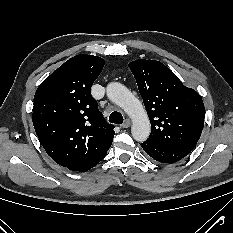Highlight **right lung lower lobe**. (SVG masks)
Returning <instances> with one entry per match:
<instances>
[{
    "mask_svg": "<svg viewBox=\"0 0 233 233\" xmlns=\"http://www.w3.org/2000/svg\"><path fill=\"white\" fill-rule=\"evenodd\" d=\"M101 160H102V159H101ZM101 160H100V161H101ZM100 161H98L97 163H99ZM97 163H96V164H97ZM96 164H94L92 167H94ZM92 167H91V168H92ZM89 169H90V168H89ZM89 169H88V170H89ZM86 171H87V170H86Z\"/></svg>",
    "mask_w": 233,
    "mask_h": 233,
    "instance_id": "98d812e1",
    "label": "right lung lower lobe"
}]
</instances>
